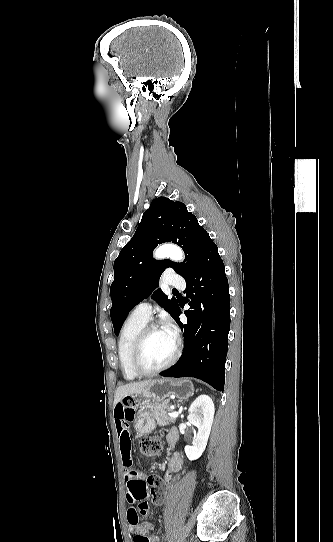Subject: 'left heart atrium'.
<instances>
[{"label":"left heart atrium","mask_w":333,"mask_h":542,"mask_svg":"<svg viewBox=\"0 0 333 542\" xmlns=\"http://www.w3.org/2000/svg\"><path fill=\"white\" fill-rule=\"evenodd\" d=\"M173 339L177 338L178 330L171 319H166L162 328Z\"/></svg>","instance_id":"1"}]
</instances>
